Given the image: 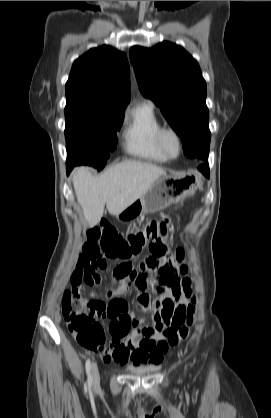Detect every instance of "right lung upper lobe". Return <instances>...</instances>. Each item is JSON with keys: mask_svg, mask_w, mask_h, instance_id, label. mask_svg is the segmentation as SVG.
<instances>
[{"mask_svg": "<svg viewBox=\"0 0 271 418\" xmlns=\"http://www.w3.org/2000/svg\"><path fill=\"white\" fill-rule=\"evenodd\" d=\"M129 87L126 54L110 46H101L73 63L65 87L66 105L124 112L130 101Z\"/></svg>", "mask_w": 271, "mask_h": 418, "instance_id": "1", "label": "right lung upper lobe"}]
</instances>
